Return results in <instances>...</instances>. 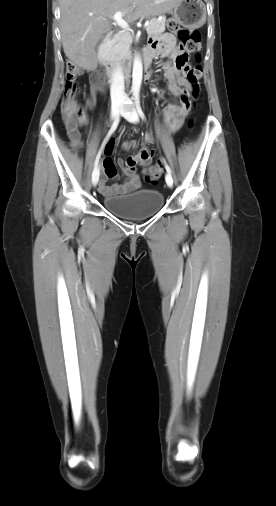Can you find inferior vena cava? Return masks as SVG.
<instances>
[{"label":"inferior vena cava","mask_w":276,"mask_h":506,"mask_svg":"<svg viewBox=\"0 0 276 506\" xmlns=\"http://www.w3.org/2000/svg\"><path fill=\"white\" fill-rule=\"evenodd\" d=\"M110 93L112 102L120 103L126 98L124 93V77L120 65L113 71Z\"/></svg>","instance_id":"1"}]
</instances>
